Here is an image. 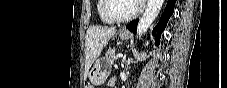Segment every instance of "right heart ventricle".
<instances>
[{
	"mask_svg": "<svg viewBox=\"0 0 227 88\" xmlns=\"http://www.w3.org/2000/svg\"><path fill=\"white\" fill-rule=\"evenodd\" d=\"M103 7H104V0H98V13H99L100 19L105 23H111L103 13Z\"/></svg>",
	"mask_w": 227,
	"mask_h": 88,
	"instance_id": "obj_1",
	"label": "right heart ventricle"
}]
</instances>
